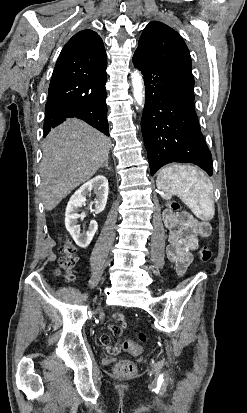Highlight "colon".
Instances as JSON below:
<instances>
[{"label":"colon","instance_id":"5ec220e1","mask_svg":"<svg viewBox=\"0 0 247 413\" xmlns=\"http://www.w3.org/2000/svg\"><path fill=\"white\" fill-rule=\"evenodd\" d=\"M167 204H170L172 206V210L180 209L179 203L175 200H169ZM60 253L61 258L59 260V269L57 270V274L60 275L64 280L71 282L76 278L75 274L70 272V269L77 262V254L75 248L70 244L67 236L63 237V245L60 248ZM199 258L201 261L205 262V265H207V262H209L212 258L211 249L206 246L201 247L199 249ZM137 341H147V335L144 331H139L136 334V339L134 336L126 337L123 345L126 347L133 345L134 348H125V355H130L131 351H133V354H139L140 346L136 345ZM136 370V365L133 362L127 360L120 361L116 366L117 373L123 376H133L136 373Z\"/></svg>","mask_w":247,"mask_h":413}]
</instances>
